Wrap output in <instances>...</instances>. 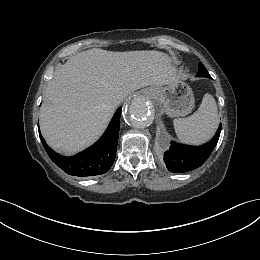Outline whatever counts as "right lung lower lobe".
<instances>
[{"label": "right lung lower lobe", "instance_id": "1", "mask_svg": "<svg viewBox=\"0 0 260 260\" xmlns=\"http://www.w3.org/2000/svg\"><path fill=\"white\" fill-rule=\"evenodd\" d=\"M121 108L114 114L104 135L91 147L72 157H64L53 151L42 138L51 160L69 175L86 177L106 173L115 160L119 130Z\"/></svg>", "mask_w": 260, "mask_h": 260}]
</instances>
